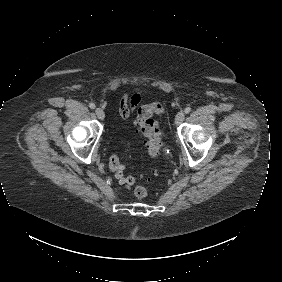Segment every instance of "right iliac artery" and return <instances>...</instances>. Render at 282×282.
Masks as SVG:
<instances>
[{
  "label": "right iliac artery",
  "mask_w": 282,
  "mask_h": 282,
  "mask_svg": "<svg viewBox=\"0 0 282 282\" xmlns=\"http://www.w3.org/2000/svg\"><path fill=\"white\" fill-rule=\"evenodd\" d=\"M89 107H90L91 109H95L96 106H95L94 103H90V104H89Z\"/></svg>",
  "instance_id": "right-iliac-artery-1"
}]
</instances>
